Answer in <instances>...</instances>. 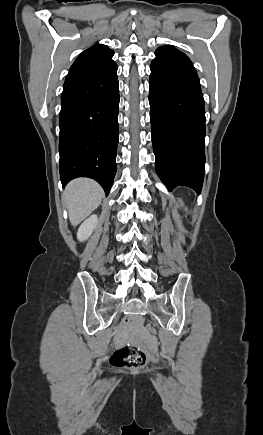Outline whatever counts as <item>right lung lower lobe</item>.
I'll list each match as a JSON object with an SVG mask.
<instances>
[{
    "mask_svg": "<svg viewBox=\"0 0 263 435\" xmlns=\"http://www.w3.org/2000/svg\"><path fill=\"white\" fill-rule=\"evenodd\" d=\"M117 65L66 79L60 111V178L95 179L108 195L116 173Z\"/></svg>",
    "mask_w": 263,
    "mask_h": 435,
    "instance_id": "obj_1",
    "label": "right lung lower lobe"
}]
</instances>
